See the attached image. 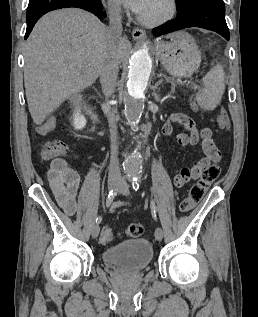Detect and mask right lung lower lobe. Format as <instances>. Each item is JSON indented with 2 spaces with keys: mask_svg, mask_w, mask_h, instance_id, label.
I'll use <instances>...</instances> for the list:
<instances>
[{
  "mask_svg": "<svg viewBox=\"0 0 258 317\" xmlns=\"http://www.w3.org/2000/svg\"><path fill=\"white\" fill-rule=\"evenodd\" d=\"M68 7L85 9L100 19L106 17L101 0H29L26 13L27 29L25 39L29 36L35 23L44 14L52 10Z\"/></svg>",
  "mask_w": 258,
  "mask_h": 317,
  "instance_id": "obj_1",
  "label": "right lung lower lobe"
}]
</instances>
